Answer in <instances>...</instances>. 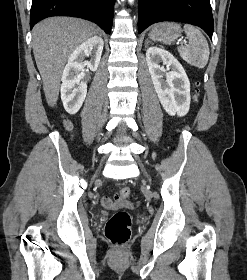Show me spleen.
Instances as JSON below:
<instances>
[{
    "label": "spleen",
    "instance_id": "1",
    "mask_svg": "<svg viewBox=\"0 0 247 280\" xmlns=\"http://www.w3.org/2000/svg\"><path fill=\"white\" fill-rule=\"evenodd\" d=\"M185 34L189 40L187 46L178 47L182 59L188 64L203 68L209 60V45L199 29L190 24L184 25Z\"/></svg>",
    "mask_w": 247,
    "mask_h": 280
}]
</instances>
